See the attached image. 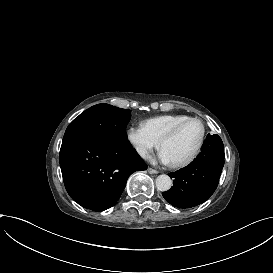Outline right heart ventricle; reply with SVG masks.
<instances>
[{"label": "right heart ventricle", "instance_id": "obj_1", "mask_svg": "<svg viewBox=\"0 0 273 273\" xmlns=\"http://www.w3.org/2000/svg\"><path fill=\"white\" fill-rule=\"evenodd\" d=\"M185 114L161 115L149 118L143 122L151 136L159 142L161 138L176 124L188 119Z\"/></svg>", "mask_w": 273, "mask_h": 273}]
</instances>
